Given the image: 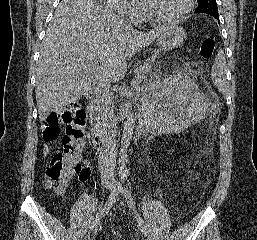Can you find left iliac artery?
Instances as JSON below:
<instances>
[{"mask_svg":"<svg viewBox=\"0 0 257 240\" xmlns=\"http://www.w3.org/2000/svg\"><path fill=\"white\" fill-rule=\"evenodd\" d=\"M125 196H126L128 206L136 214V219H137V222L139 223V226L142 229V232L144 233L145 236H148L147 228H146L142 218L137 213L134 199H133L130 191L127 188L125 189Z\"/></svg>","mask_w":257,"mask_h":240,"instance_id":"1","label":"left iliac artery"}]
</instances>
